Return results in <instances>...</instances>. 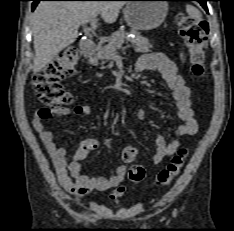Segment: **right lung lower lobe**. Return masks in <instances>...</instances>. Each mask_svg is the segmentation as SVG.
<instances>
[{
    "mask_svg": "<svg viewBox=\"0 0 234 231\" xmlns=\"http://www.w3.org/2000/svg\"><path fill=\"white\" fill-rule=\"evenodd\" d=\"M32 1H33L32 4V11H33L40 1H74V0H32ZM94 1H105V0H94Z\"/></svg>",
    "mask_w": 234,
    "mask_h": 231,
    "instance_id": "obj_1",
    "label": "right lung lower lobe"
}]
</instances>
